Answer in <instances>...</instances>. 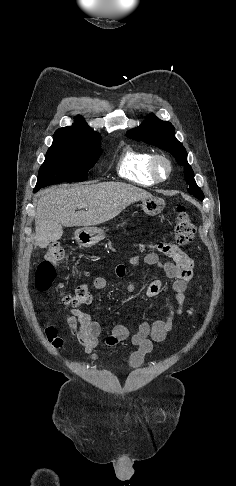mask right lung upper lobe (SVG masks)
<instances>
[{
    "mask_svg": "<svg viewBox=\"0 0 236 486\" xmlns=\"http://www.w3.org/2000/svg\"><path fill=\"white\" fill-rule=\"evenodd\" d=\"M54 138H68L88 143L100 142V134L87 126L81 117H78L72 126L56 130Z\"/></svg>",
    "mask_w": 236,
    "mask_h": 486,
    "instance_id": "cb5924a9",
    "label": "right lung upper lobe"
}]
</instances>
